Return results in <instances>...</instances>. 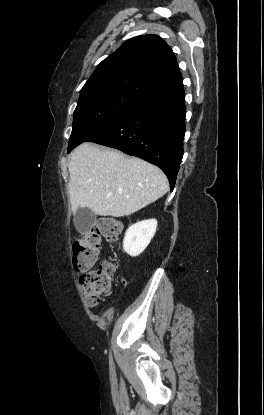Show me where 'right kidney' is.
I'll use <instances>...</instances> for the list:
<instances>
[{
    "instance_id": "1",
    "label": "right kidney",
    "mask_w": 264,
    "mask_h": 415,
    "mask_svg": "<svg viewBox=\"0 0 264 415\" xmlns=\"http://www.w3.org/2000/svg\"><path fill=\"white\" fill-rule=\"evenodd\" d=\"M157 220L149 219L131 225L123 240V250L132 257L140 255L155 235Z\"/></svg>"
}]
</instances>
